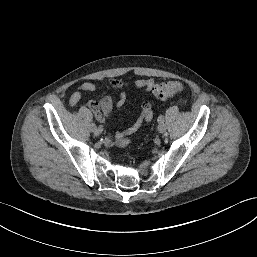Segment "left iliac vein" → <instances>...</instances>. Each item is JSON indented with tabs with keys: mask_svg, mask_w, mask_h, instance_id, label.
<instances>
[{
	"mask_svg": "<svg viewBox=\"0 0 257 257\" xmlns=\"http://www.w3.org/2000/svg\"><path fill=\"white\" fill-rule=\"evenodd\" d=\"M159 133H164L166 131V125L164 123H160L157 127Z\"/></svg>",
	"mask_w": 257,
	"mask_h": 257,
	"instance_id": "left-iliac-vein-1",
	"label": "left iliac vein"
}]
</instances>
